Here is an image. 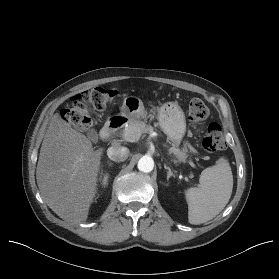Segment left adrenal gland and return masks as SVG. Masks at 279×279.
Instances as JSON below:
<instances>
[{
    "instance_id": "a2214340",
    "label": "left adrenal gland",
    "mask_w": 279,
    "mask_h": 279,
    "mask_svg": "<svg viewBox=\"0 0 279 279\" xmlns=\"http://www.w3.org/2000/svg\"><path fill=\"white\" fill-rule=\"evenodd\" d=\"M164 168H165L166 170H168V173H167V180H168L171 176H173V177L175 176L170 167L164 165Z\"/></svg>"
}]
</instances>
